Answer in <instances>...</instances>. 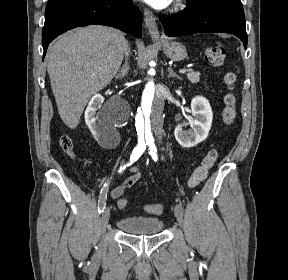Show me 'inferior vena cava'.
Returning <instances> with one entry per match:
<instances>
[{
  "label": "inferior vena cava",
  "instance_id": "602c4592",
  "mask_svg": "<svg viewBox=\"0 0 288 280\" xmlns=\"http://www.w3.org/2000/svg\"><path fill=\"white\" fill-rule=\"evenodd\" d=\"M125 55H129L128 45L125 48ZM165 97H170V92L168 89H158L156 96L154 97L155 102L152 105V116H151V126H153V137H156V141H165V136L163 132V122L164 113L163 105ZM161 147H166V142H161Z\"/></svg>",
  "mask_w": 288,
  "mask_h": 280
}]
</instances>
